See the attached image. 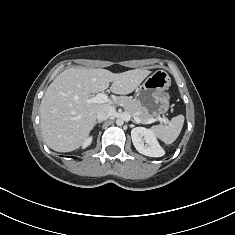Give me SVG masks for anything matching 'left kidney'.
<instances>
[{"instance_id":"1","label":"left kidney","mask_w":235,"mask_h":235,"mask_svg":"<svg viewBox=\"0 0 235 235\" xmlns=\"http://www.w3.org/2000/svg\"><path fill=\"white\" fill-rule=\"evenodd\" d=\"M131 138L136 150L149 157H161L165 154L151 129L135 127L131 131Z\"/></svg>"}]
</instances>
